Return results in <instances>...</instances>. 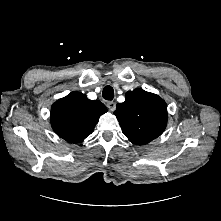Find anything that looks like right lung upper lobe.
Here are the masks:
<instances>
[{"instance_id": "cb5924a9", "label": "right lung upper lobe", "mask_w": 221, "mask_h": 221, "mask_svg": "<svg viewBox=\"0 0 221 221\" xmlns=\"http://www.w3.org/2000/svg\"><path fill=\"white\" fill-rule=\"evenodd\" d=\"M105 112L107 108L99 100H89L83 93L71 92L52 105L50 121L58 136L70 143H80L92 133Z\"/></svg>"}]
</instances>
